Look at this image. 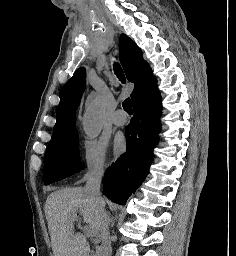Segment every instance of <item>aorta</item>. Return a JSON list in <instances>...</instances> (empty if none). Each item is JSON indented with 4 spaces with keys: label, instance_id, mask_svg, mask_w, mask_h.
Wrapping results in <instances>:
<instances>
[{
    "label": "aorta",
    "instance_id": "1",
    "mask_svg": "<svg viewBox=\"0 0 236 256\" xmlns=\"http://www.w3.org/2000/svg\"><path fill=\"white\" fill-rule=\"evenodd\" d=\"M103 115L104 102L97 97L91 101L83 118V129L89 138H95L101 132Z\"/></svg>",
    "mask_w": 236,
    "mask_h": 256
}]
</instances>
